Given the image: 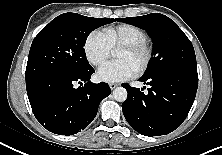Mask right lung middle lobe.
Returning a JSON list of instances; mask_svg holds the SVG:
<instances>
[{
	"mask_svg": "<svg viewBox=\"0 0 222 155\" xmlns=\"http://www.w3.org/2000/svg\"><path fill=\"white\" fill-rule=\"evenodd\" d=\"M64 13L53 19L34 38L25 72L26 89L53 77H70L92 67L85 54V42L96 28L114 22Z\"/></svg>",
	"mask_w": 222,
	"mask_h": 155,
	"instance_id": "1",
	"label": "right lung middle lobe"
}]
</instances>
